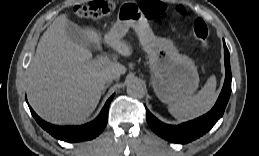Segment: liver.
<instances>
[{
	"label": "liver",
	"mask_w": 259,
	"mask_h": 156,
	"mask_svg": "<svg viewBox=\"0 0 259 156\" xmlns=\"http://www.w3.org/2000/svg\"><path fill=\"white\" fill-rule=\"evenodd\" d=\"M68 23L67 15L62 14L43 33L26 78L28 101L33 110L42 119L58 125L86 120L99 103L106 74L126 72V68L117 62L103 67L90 65L92 53L67 37ZM83 32L89 41L100 43L101 35L93 28L86 27ZM121 38L108 32L104 41L128 57L132 48Z\"/></svg>",
	"instance_id": "1"
}]
</instances>
